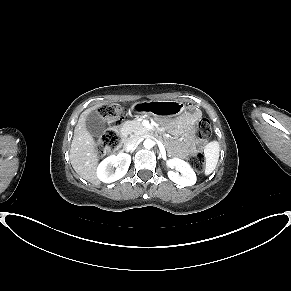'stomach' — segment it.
Returning a JSON list of instances; mask_svg holds the SVG:
<instances>
[{
    "mask_svg": "<svg viewBox=\"0 0 291 291\" xmlns=\"http://www.w3.org/2000/svg\"><path fill=\"white\" fill-rule=\"evenodd\" d=\"M185 106L186 105L180 101L151 100L137 102L132 105L131 109L137 114L150 113L156 117L170 118L177 117L178 110Z\"/></svg>",
    "mask_w": 291,
    "mask_h": 291,
    "instance_id": "stomach-1",
    "label": "stomach"
}]
</instances>
